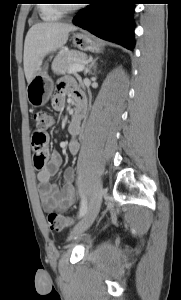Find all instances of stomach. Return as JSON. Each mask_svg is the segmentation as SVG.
Segmentation results:
<instances>
[{
	"label": "stomach",
	"instance_id": "0dacf381",
	"mask_svg": "<svg viewBox=\"0 0 181 300\" xmlns=\"http://www.w3.org/2000/svg\"><path fill=\"white\" fill-rule=\"evenodd\" d=\"M73 45L81 51H101V44L87 33H74ZM53 91V81L47 74V65L40 64L39 69L28 84L27 98L34 107L43 106L48 102Z\"/></svg>",
	"mask_w": 181,
	"mask_h": 300
}]
</instances>
